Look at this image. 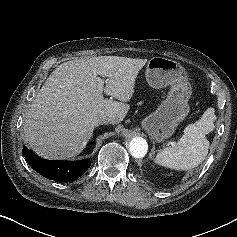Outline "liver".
<instances>
[{
    "label": "liver",
    "instance_id": "1",
    "mask_svg": "<svg viewBox=\"0 0 237 237\" xmlns=\"http://www.w3.org/2000/svg\"><path fill=\"white\" fill-rule=\"evenodd\" d=\"M147 59L98 56L60 64L48 77L26 113L24 140L39 156L67 159L80 154L91 139L94 118L120 123L129 111L135 80ZM106 78L105 99L97 76Z\"/></svg>",
    "mask_w": 237,
    "mask_h": 237
}]
</instances>
